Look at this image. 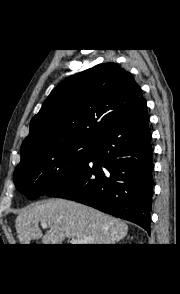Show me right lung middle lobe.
<instances>
[{
	"label": "right lung middle lobe",
	"mask_w": 180,
	"mask_h": 294,
	"mask_svg": "<svg viewBox=\"0 0 180 294\" xmlns=\"http://www.w3.org/2000/svg\"><path fill=\"white\" fill-rule=\"evenodd\" d=\"M94 142H69L38 150L14 172L16 188L28 199L47 195L67 181L89 158Z\"/></svg>",
	"instance_id": "1"
}]
</instances>
